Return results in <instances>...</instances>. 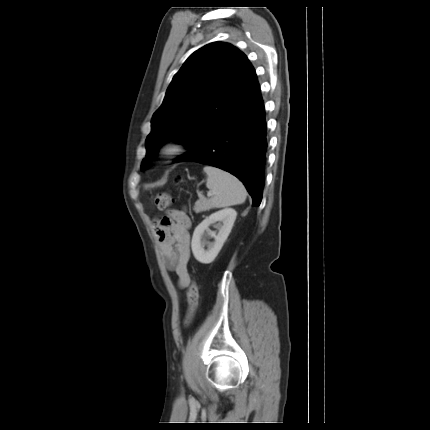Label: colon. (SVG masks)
Returning <instances> with one entry per match:
<instances>
[{
  "label": "colon",
  "mask_w": 430,
  "mask_h": 430,
  "mask_svg": "<svg viewBox=\"0 0 430 430\" xmlns=\"http://www.w3.org/2000/svg\"><path fill=\"white\" fill-rule=\"evenodd\" d=\"M173 197L168 193H159L154 197V204L160 211L167 210L173 203ZM187 313L184 319V324L188 326L198 308L199 303V292L198 285L194 279L190 280L188 291H187Z\"/></svg>",
  "instance_id": "obj_1"
}]
</instances>
